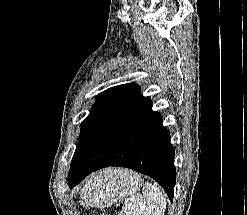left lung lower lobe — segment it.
I'll return each mask as SVG.
<instances>
[{
    "label": "left lung lower lobe",
    "mask_w": 247,
    "mask_h": 215,
    "mask_svg": "<svg viewBox=\"0 0 247 215\" xmlns=\"http://www.w3.org/2000/svg\"><path fill=\"white\" fill-rule=\"evenodd\" d=\"M162 120L160 113L152 110L150 98L139 96L97 140L81 143L68 173L70 188L98 169L121 166L155 179L172 201L175 150Z\"/></svg>",
    "instance_id": "obj_1"
}]
</instances>
